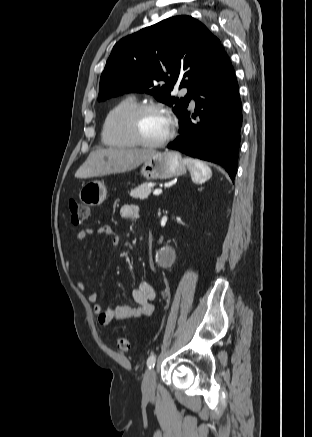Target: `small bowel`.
Instances as JSON below:
<instances>
[{
  "label": "small bowel",
  "instance_id": "small-bowel-1",
  "mask_svg": "<svg viewBox=\"0 0 312 437\" xmlns=\"http://www.w3.org/2000/svg\"><path fill=\"white\" fill-rule=\"evenodd\" d=\"M121 216L126 219H138L140 217L139 209L133 204H124L120 210ZM90 228L79 232L77 241L82 242L86 237L93 234ZM99 235H106L111 238L114 246L121 244V236L110 226H101L97 229ZM79 289H83L82 282H78ZM134 306L118 305L113 308H104L100 303L99 294L92 291L88 294V300L93 303V312L98 322L102 326H110L116 322L137 321L153 315L155 307L153 300L155 299V292L151 284L147 281L138 283L136 289L133 291Z\"/></svg>",
  "mask_w": 312,
  "mask_h": 437
}]
</instances>
